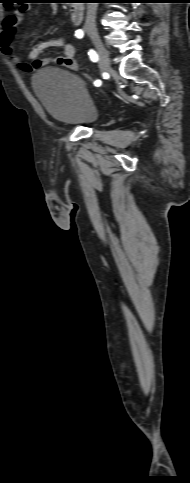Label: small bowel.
I'll return each instance as SVG.
<instances>
[{"instance_id": "obj_1", "label": "small bowel", "mask_w": 190, "mask_h": 483, "mask_svg": "<svg viewBox=\"0 0 190 483\" xmlns=\"http://www.w3.org/2000/svg\"><path fill=\"white\" fill-rule=\"evenodd\" d=\"M28 10V5H21L3 18L0 27V49L3 54L25 72H33L52 63L70 70H77L78 66L74 58L76 48L63 37L50 38L35 44L28 54V61L22 60L14 53L13 36ZM56 48L62 51V56L41 58L42 55Z\"/></svg>"}]
</instances>
